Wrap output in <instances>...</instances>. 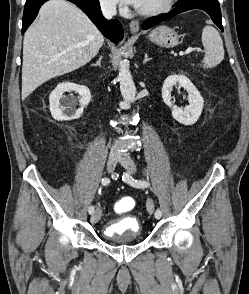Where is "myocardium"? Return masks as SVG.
I'll list each match as a JSON object with an SVG mask.
<instances>
[{
    "mask_svg": "<svg viewBox=\"0 0 249 294\" xmlns=\"http://www.w3.org/2000/svg\"><path fill=\"white\" fill-rule=\"evenodd\" d=\"M176 1L177 0H167L163 5L148 10L137 7L136 11L144 16H155L169 11Z\"/></svg>",
    "mask_w": 249,
    "mask_h": 294,
    "instance_id": "myocardium-1",
    "label": "myocardium"
}]
</instances>
